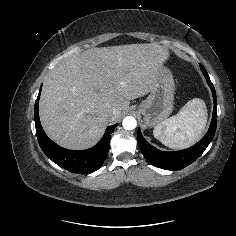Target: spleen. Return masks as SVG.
<instances>
[{"mask_svg":"<svg viewBox=\"0 0 236 236\" xmlns=\"http://www.w3.org/2000/svg\"><path fill=\"white\" fill-rule=\"evenodd\" d=\"M206 123L205 103L195 98L188 101L176 115L155 126L153 135L169 148L184 149L200 138Z\"/></svg>","mask_w":236,"mask_h":236,"instance_id":"3e777b00","label":"spleen"}]
</instances>
